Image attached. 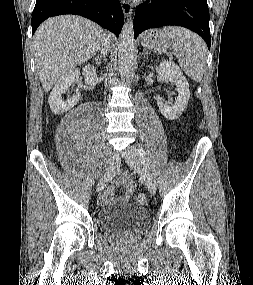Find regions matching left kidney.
<instances>
[{
	"label": "left kidney",
	"instance_id": "left-kidney-1",
	"mask_svg": "<svg viewBox=\"0 0 253 285\" xmlns=\"http://www.w3.org/2000/svg\"><path fill=\"white\" fill-rule=\"evenodd\" d=\"M157 73L165 80L173 82L176 85L178 96L174 103H167L160 96L156 98L157 105L162 115L169 119L175 120L180 117L190 98L189 83L183 76L180 68L173 62L164 61L156 67Z\"/></svg>",
	"mask_w": 253,
	"mask_h": 285
}]
</instances>
